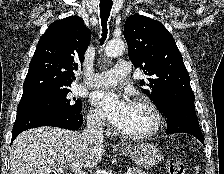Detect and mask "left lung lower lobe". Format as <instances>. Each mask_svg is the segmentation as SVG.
<instances>
[{
  "label": "left lung lower lobe",
  "instance_id": "1",
  "mask_svg": "<svg viewBox=\"0 0 224 174\" xmlns=\"http://www.w3.org/2000/svg\"><path fill=\"white\" fill-rule=\"evenodd\" d=\"M167 118V134L188 133L204 144V138L196 116L194 100H176L164 113Z\"/></svg>",
  "mask_w": 224,
  "mask_h": 174
}]
</instances>
